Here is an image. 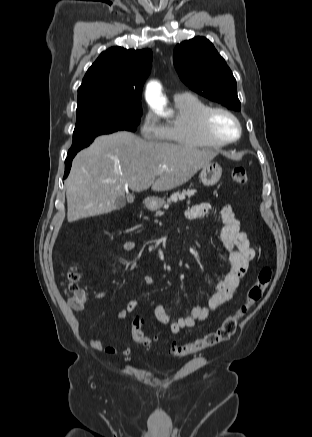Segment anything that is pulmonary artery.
<instances>
[{
    "mask_svg": "<svg viewBox=\"0 0 312 437\" xmlns=\"http://www.w3.org/2000/svg\"><path fill=\"white\" fill-rule=\"evenodd\" d=\"M180 95H181V94H175V95H174V99H177V98H179V97H180Z\"/></svg>",
    "mask_w": 312,
    "mask_h": 437,
    "instance_id": "pulmonary-artery-1",
    "label": "pulmonary artery"
}]
</instances>
